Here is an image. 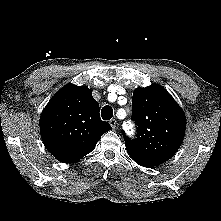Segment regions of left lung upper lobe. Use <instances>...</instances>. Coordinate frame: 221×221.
Here are the masks:
<instances>
[{
	"label": "left lung upper lobe",
	"instance_id": "obj_1",
	"mask_svg": "<svg viewBox=\"0 0 221 221\" xmlns=\"http://www.w3.org/2000/svg\"><path fill=\"white\" fill-rule=\"evenodd\" d=\"M132 111L137 136L130 140L123 132L130 157L150 168L173 157L183 141L186 118L168 91L158 84L135 89Z\"/></svg>",
	"mask_w": 221,
	"mask_h": 221
}]
</instances>
